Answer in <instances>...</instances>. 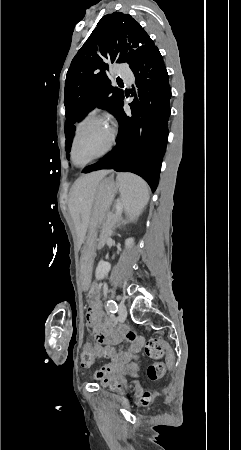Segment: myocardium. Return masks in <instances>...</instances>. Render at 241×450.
Masks as SVG:
<instances>
[{"instance_id":"1","label":"myocardium","mask_w":241,"mask_h":450,"mask_svg":"<svg viewBox=\"0 0 241 450\" xmlns=\"http://www.w3.org/2000/svg\"><path fill=\"white\" fill-rule=\"evenodd\" d=\"M75 127H80V122H75ZM104 127H109V122H104ZM83 130H76V132H73V137H75L74 138V142H73V146H72V148H70V155H71V157H69V162H75L76 161V158L75 157H77L78 156V150H80V149H82L83 148V141H84V138L83 137H80V135H83ZM106 134L107 135H114L115 134V131L114 130H107L106 131ZM114 141V138L113 137H107L106 138V140H102L101 141V144L102 145H104V148H103V152H100L99 153V157H106V153H109L110 152V149H112V144H111V142H113ZM95 160H86V162H94Z\"/></svg>"}]
</instances>
